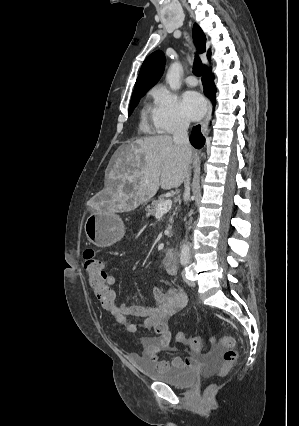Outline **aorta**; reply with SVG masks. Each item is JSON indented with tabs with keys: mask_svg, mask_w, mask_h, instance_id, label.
I'll use <instances>...</instances> for the list:
<instances>
[{
	"mask_svg": "<svg viewBox=\"0 0 299 426\" xmlns=\"http://www.w3.org/2000/svg\"><path fill=\"white\" fill-rule=\"evenodd\" d=\"M183 68L178 62H174L170 65L167 74L166 81L172 90H178L181 87L180 75ZM190 258V246L187 242H184L181 248L180 260L182 262H188Z\"/></svg>",
	"mask_w": 299,
	"mask_h": 426,
	"instance_id": "obj_1",
	"label": "aorta"
}]
</instances>
